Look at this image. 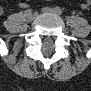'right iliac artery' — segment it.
<instances>
[{
  "label": "right iliac artery",
  "instance_id": "82829eb1",
  "mask_svg": "<svg viewBox=\"0 0 91 91\" xmlns=\"http://www.w3.org/2000/svg\"><path fill=\"white\" fill-rule=\"evenodd\" d=\"M29 13H31V9L30 8L25 11V15H27Z\"/></svg>",
  "mask_w": 91,
  "mask_h": 91
}]
</instances>
